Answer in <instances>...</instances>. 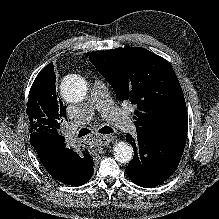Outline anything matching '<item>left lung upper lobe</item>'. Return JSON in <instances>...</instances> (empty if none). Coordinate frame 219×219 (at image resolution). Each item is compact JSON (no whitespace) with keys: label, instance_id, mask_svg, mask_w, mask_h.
<instances>
[{"label":"left lung upper lobe","instance_id":"1","mask_svg":"<svg viewBox=\"0 0 219 219\" xmlns=\"http://www.w3.org/2000/svg\"><path fill=\"white\" fill-rule=\"evenodd\" d=\"M90 62L117 97L137 106V134L185 145L187 108L182 88L168 61L136 47L97 51Z\"/></svg>","mask_w":219,"mask_h":219}]
</instances>
